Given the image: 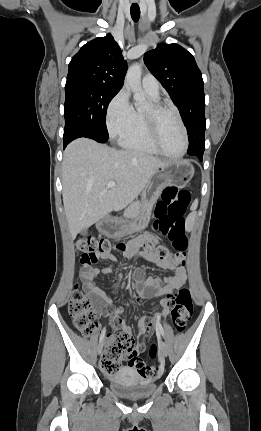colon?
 Listing matches in <instances>:
<instances>
[{
    "mask_svg": "<svg viewBox=\"0 0 261 431\" xmlns=\"http://www.w3.org/2000/svg\"><path fill=\"white\" fill-rule=\"evenodd\" d=\"M190 198V193L186 189L174 186L164 189L161 201L158 202L155 209L154 229L171 242L175 252L171 254L166 246L149 242L143 246L146 253H152L160 260H169L177 265L185 263L188 238L185 234L183 215L190 203ZM76 248L83 266L90 267L101 255L110 251L111 245L105 239L86 236L76 241ZM115 248L120 252L127 251L124 243H118ZM165 299L171 309L174 329L178 333H182L192 317L191 292L188 288H181L175 293H168ZM69 314L74 327L84 335H91L97 327L92 303L78 285L75 286L72 293ZM150 355L159 363L165 360V357L159 354V349L155 344L151 346ZM123 360H127L128 364L135 372L140 373V378L145 381H156L160 377V373L164 371L162 364H154L151 368L150 364H145L137 358L130 335L124 332L110 333L102 357V368L107 373H114Z\"/></svg>",
    "mask_w": 261,
    "mask_h": 431,
    "instance_id": "obj_1",
    "label": "colon"
}]
</instances>
